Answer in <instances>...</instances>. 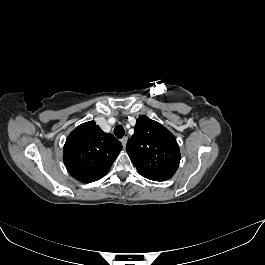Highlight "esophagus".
Masks as SVG:
<instances>
[{
  "label": "esophagus",
  "instance_id": "34e87169",
  "mask_svg": "<svg viewBox=\"0 0 265 265\" xmlns=\"http://www.w3.org/2000/svg\"><path fill=\"white\" fill-rule=\"evenodd\" d=\"M127 140H128V137H126V136L121 139V143H122L124 148L126 147Z\"/></svg>",
  "mask_w": 265,
  "mask_h": 265
}]
</instances>
